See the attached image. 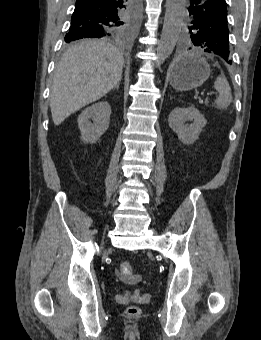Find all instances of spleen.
Instances as JSON below:
<instances>
[{"label": "spleen", "mask_w": 261, "mask_h": 340, "mask_svg": "<svg viewBox=\"0 0 261 340\" xmlns=\"http://www.w3.org/2000/svg\"><path fill=\"white\" fill-rule=\"evenodd\" d=\"M214 88L219 92V96L215 100L217 107L227 108L232 102V93L230 85L223 74L216 78Z\"/></svg>", "instance_id": "spleen-1"}]
</instances>
